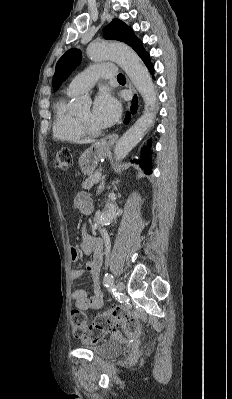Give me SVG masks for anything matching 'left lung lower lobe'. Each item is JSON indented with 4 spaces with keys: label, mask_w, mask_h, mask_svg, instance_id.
Here are the masks:
<instances>
[{
    "label": "left lung lower lobe",
    "mask_w": 232,
    "mask_h": 399,
    "mask_svg": "<svg viewBox=\"0 0 232 399\" xmlns=\"http://www.w3.org/2000/svg\"><path fill=\"white\" fill-rule=\"evenodd\" d=\"M137 54L140 56V58L143 60V62L146 64L148 69L150 70V73L153 75L154 73V68L153 65L150 62V57L149 54L144 50L143 47H140L137 51ZM137 96H134V99L132 101V106H131V113L134 114L138 108V103H137ZM131 119V114L130 112L126 113V118H125V124H127ZM136 163H138L142 169L147 172L148 174H151V160H150V149L149 146L145 147L142 151V157L139 161L134 160Z\"/></svg>",
    "instance_id": "0a47b994"
}]
</instances>
